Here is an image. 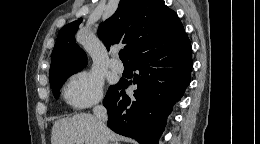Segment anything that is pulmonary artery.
I'll list each match as a JSON object with an SVG mask.
<instances>
[{
  "label": "pulmonary artery",
  "mask_w": 260,
  "mask_h": 144,
  "mask_svg": "<svg viewBox=\"0 0 260 144\" xmlns=\"http://www.w3.org/2000/svg\"><path fill=\"white\" fill-rule=\"evenodd\" d=\"M110 68L118 73H121L124 70L123 65L116 59L110 61Z\"/></svg>",
  "instance_id": "obj_1"
}]
</instances>
